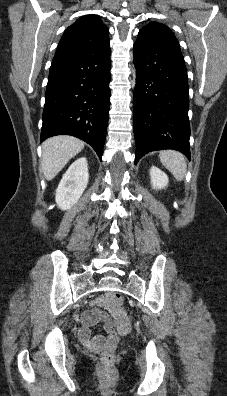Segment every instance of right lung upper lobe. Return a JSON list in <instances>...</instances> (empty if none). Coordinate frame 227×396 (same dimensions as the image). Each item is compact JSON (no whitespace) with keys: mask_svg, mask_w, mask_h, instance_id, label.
Listing matches in <instances>:
<instances>
[{"mask_svg":"<svg viewBox=\"0 0 227 396\" xmlns=\"http://www.w3.org/2000/svg\"><path fill=\"white\" fill-rule=\"evenodd\" d=\"M109 30L96 15H85L69 26L57 47L55 56L79 53L109 42Z\"/></svg>","mask_w":227,"mask_h":396,"instance_id":"right-lung-upper-lobe-1","label":"right lung upper lobe"}]
</instances>
